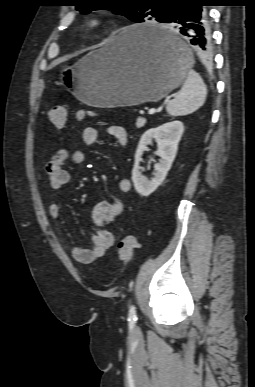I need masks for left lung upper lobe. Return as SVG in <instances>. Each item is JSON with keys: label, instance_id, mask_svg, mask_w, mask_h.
<instances>
[{"label": "left lung upper lobe", "instance_id": "left-lung-upper-lobe-1", "mask_svg": "<svg viewBox=\"0 0 255 387\" xmlns=\"http://www.w3.org/2000/svg\"><path fill=\"white\" fill-rule=\"evenodd\" d=\"M181 0H75L76 9L83 14L109 9L134 22L163 21L167 6Z\"/></svg>", "mask_w": 255, "mask_h": 387}]
</instances>
